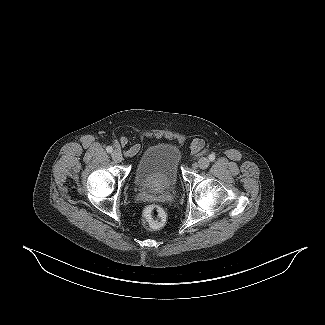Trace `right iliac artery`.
Instances as JSON below:
<instances>
[{"mask_svg": "<svg viewBox=\"0 0 325 325\" xmlns=\"http://www.w3.org/2000/svg\"><path fill=\"white\" fill-rule=\"evenodd\" d=\"M106 151H107L108 153H111V152L113 151V148H112L111 146H107V147H106Z\"/></svg>", "mask_w": 325, "mask_h": 325, "instance_id": "1", "label": "right iliac artery"}]
</instances>
